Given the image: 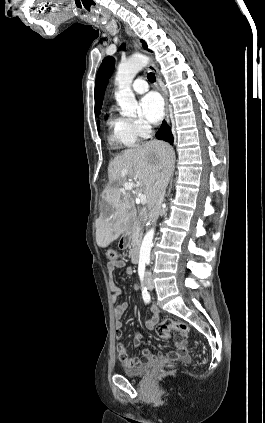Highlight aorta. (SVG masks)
<instances>
[{"label": "aorta", "mask_w": 265, "mask_h": 423, "mask_svg": "<svg viewBox=\"0 0 265 423\" xmlns=\"http://www.w3.org/2000/svg\"><path fill=\"white\" fill-rule=\"evenodd\" d=\"M149 58L145 55L137 54L131 56L127 61L118 66L115 82L118 90L115 93L117 103L121 108V114L124 116H135L139 109L138 102L131 89V84L136 74L147 65ZM155 230L151 228L145 234L139 254V263L148 264L150 262V253L153 245Z\"/></svg>", "instance_id": "obj_1"}]
</instances>
